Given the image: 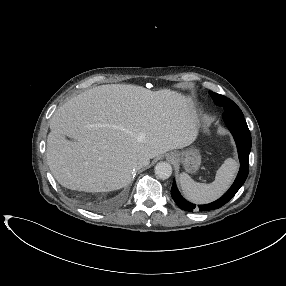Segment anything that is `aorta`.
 Instances as JSON below:
<instances>
[{"mask_svg": "<svg viewBox=\"0 0 286 286\" xmlns=\"http://www.w3.org/2000/svg\"><path fill=\"white\" fill-rule=\"evenodd\" d=\"M155 174L160 179H167L172 174V166L167 162H159L155 166Z\"/></svg>", "mask_w": 286, "mask_h": 286, "instance_id": "762f6f07", "label": "aorta"}]
</instances>
